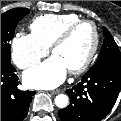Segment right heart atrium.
Segmentation results:
<instances>
[{"label": "right heart atrium", "mask_w": 121, "mask_h": 121, "mask_svg": "<svg viewBox=\"0 0 121 121\" xmlns=\"http://www.w3.org/2000/svg\"><path fill=\"white\" fill-rule=\"evenodd\" d=\"M49 53L33 34L18 33L11 41V58L14 64L23 70L36 65Z\"/></svg>", "instance_id": "d8ad5b80"}]
</instances>
